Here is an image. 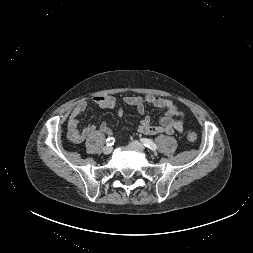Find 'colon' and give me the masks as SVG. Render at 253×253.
<instances>
[{
    "label": "colon",
    "mask_w": 253,
    "mask_h": 253,
    "mask_svg": "<svg viewBox=\"0 0 253 253\" xmlns=\"http://www.w3.org/2000/svg\"><path fill=\"white\" fill-rule=\"evenodd\" d=\"M187 139L190 141V142H195L197 139H198V136L195 132H192V131H189L187 133Z\"/></svg>",
    "instance_id": "5ec220e1"
}]
</instances>
